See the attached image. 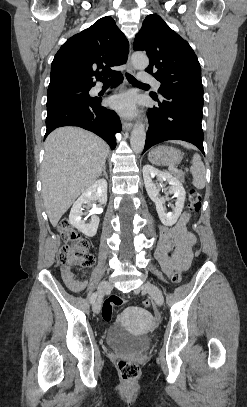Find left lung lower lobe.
Here are the masks:
<instances>
[{"instance_id": "1", "label": "left lung lower lobe", "mask_w": 247, "mask_h": 407, "mask_svg": "<svg viewBox=\"0 0 247 407\" xmlns=\"http://www.w3.org/2000/svg\"><path fill=\"white\" fill-rule=\"evenodd\" d=\"M161 100L154 99L158 106L148 109L151 122L146 134L143 153L150 147L167 140H183L197 146L204 154L202 108L203 94L170 90Z\"/></svg>"}]
</instances>
